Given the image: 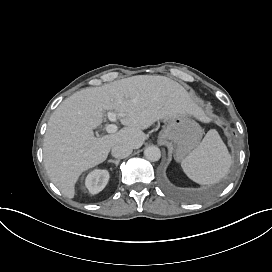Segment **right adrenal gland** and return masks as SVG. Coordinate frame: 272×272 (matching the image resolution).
<instances>
[{"mask_svg":"<svg viewBox=\"0 0 272 272\" xmlns=\"http://www.w3.org/2000/svg\"><path fill=\"white\" fill-rule=\"evenodd\" d=\"M120 160H109L108 163H114L117 167L119 165Z\"/></svg>","mask_w":272,"mask_h":272,"instance_id":"right-adrenal-gland-1","label":"right adrenal gland"}]
</instances>
